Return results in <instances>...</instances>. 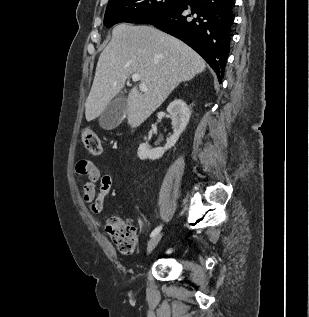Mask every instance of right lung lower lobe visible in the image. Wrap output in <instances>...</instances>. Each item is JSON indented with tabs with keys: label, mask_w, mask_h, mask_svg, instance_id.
<instances>
[{
	"label": "right lung lower lobe",
	"mask_w": 309,
	"mask_h": 317,
	"mask_svg": "<svg viewBox=\"0 0 309 317\" xmlns=\"http://www.w3.org/2000/svg\"><path fill=\"white\" fill-rule=\"evenodd\" d=\"M234 0H187L174 8L139 19L188 44L216 72L222 82L230 51Z\"/></svg>",
	"instance_id": "98d812e1"
}]
</instances>
